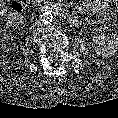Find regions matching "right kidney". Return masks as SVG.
Returning <instances> with one entry per match:
<instances>
[{"instance_id":"obj_1","label":"right kidney","mask_w":118,"mask_h":118,"mask_svg":"<svg viewBox=\"0 0 118 118\" xmlns=\"http://www.w3.org/2000/svg\"><path fill=\"white\" fill-rule=\"evenodd\" d=\"M10 37L12 39V35L9 34V33H5L4 36H3L4 40H8Z\"/></svg>"}]
</instances>
